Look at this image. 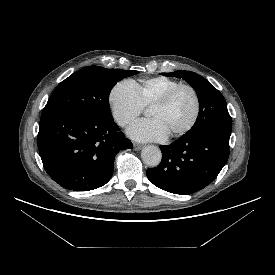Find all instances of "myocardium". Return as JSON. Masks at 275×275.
Returning a JSON list of instances; mask_svg holds the SVG:
<instances>
[{"label": "myocardium", "instance_id": "myocardium-1", "mask_svg": "<svg viewBox=\"0 0 275 275\" xmlns=\"http://www.w3.org/2000/svg\"><path fill=\"white\" fill-rule=\"evenodd\" d=\"M181 89H188L193 94V97H194V100H195V111H194L192 119L190 120V122L184 128H182V129L178 130L177 132L169 135V138H171V139L179 138V137L187 134L189 131H191L194 128V126L198 122V119H199L200 114H201V100H200V96H199L197 90L190 84L181 83V84L173 87L172 89H170L168 92H166L159 100H157L151 106V108H164V107L168 106L169 103L174 98V96Z\"/></svg>", "mask_w": 275, "mask_h": 275}]
</instances>
